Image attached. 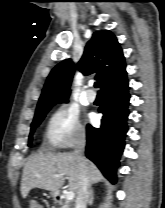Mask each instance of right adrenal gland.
Returning a JSON list of instances; mask_svg holds the SVG:
<instances>
[{"mask_svg":"<svg viewBox=\"0 0 165 208\" xmlns=\"http://www.w3.org/2000/svg\"><path fill=\"white\" fill-rule=\"evenodd\" d=\"M94 201V194H93V189H90V197H89V201L88 204L92 205Z\"/></svg>","mask_w":165,"mask_h":208,"instance_id":"right-adrenal-gland-1","label":"right adrenal gland"}]
</instances>
